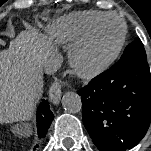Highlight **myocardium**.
I'll return each instance as SVG.
<instances>
[{
    "label": "myocardium",
    "mask_w": 151,
    "mask_h": 151,
    "mask_svg": "<svg viewBox=\"0 0 151 151\" xmlns=\"http://www.w3.org/2000/svg\"><path fill=\"white\" fill-rule=\"evenodd\" d=\"M109 18L117 19L122 26L120 38L112 53L100 62H90L87 59V51L100 25ZM127 37V24L117 13H106L94 22L88 32L75 45L71 54L72 66L77 74L83 78H94L107 71L119 57Z\"/></svg>",
    "instance_id": "myocardium-1"
}]
</instances>
